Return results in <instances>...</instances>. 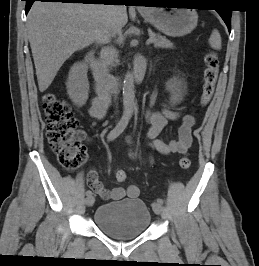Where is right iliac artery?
<instances>
[{"instance_id": "82829eb1", "label": "right iliac artery", "mask_w": 259, "mask_h": 266, "mask_svg": "<svg viewBox=\"0 0 259 266\" xmlns=\"http://www.w3.org/2000/svg\"><path fill=\"white\" fill-rule=\"evenodd\" d=\"M130 117L128 115L122 116L120 121L117 123L107 136L108 141H112L117 138L127 127ZM87 197L92 196V192L88 190L86 192Z\"/></svg>"}]
</instances>
